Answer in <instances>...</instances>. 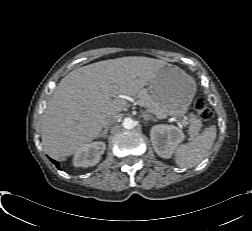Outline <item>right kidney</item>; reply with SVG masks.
<instances>
[{"label":"right kidney","mask_w":252,"mask_h":231,"mask_svg":"<svg viewBox=\"0 0 252 231\" xmlns=\"http://www.w3.org/2000/svg\"><path fill=\"white\" fill-rule=\"evenodd\" d=\"M105 149L106 144L99 141L83 145L74 154V166L91 167L96 165L100 161Z\"/></svg>","instance_id":"ca27d5eb"}]
</instances>
